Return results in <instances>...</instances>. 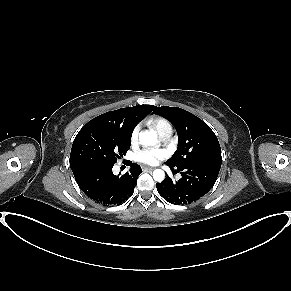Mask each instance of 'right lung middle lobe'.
<instances>
[{
    "mask_svg": "<svg viewBox=\"0 0 291 291\" xmlns=\"http://www.w3.org/2000/svg\"><path fill=\"white\" fill-rule=\"evenodd\" d=\"M132 130L105 122L87 123L75 137L71 155L72 171L96 165H114L131 145Z\"/></svg>",
    "mask_w": 291,
    "mask_h": 291,
    "instance_id": "obj_1",
    "label": "right lung middle lobe"
}]
</instances>
